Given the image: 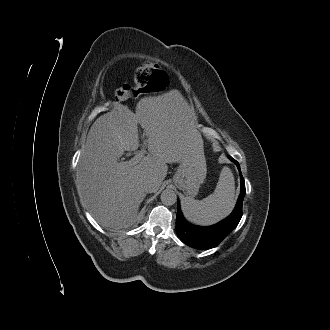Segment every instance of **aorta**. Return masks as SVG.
Listing matches in <instances>:
<instances>
[{"mask_svg": "<svg viewBox=\"0 0 330 330\" xmlns=\"http://www.w3.org/2000/svg\"><path fill=\"white\" fill-rule=\"evenodd\" d=\"M161 202L166 206L174 205L177 201V195L172 189H165L161 193Z\"/></svg>", "mask_w": 330, "mask_h": 330, "instance_id": "1", "label": "aorta"}]
</instances>
